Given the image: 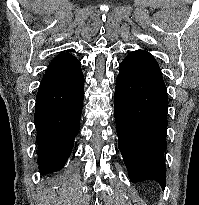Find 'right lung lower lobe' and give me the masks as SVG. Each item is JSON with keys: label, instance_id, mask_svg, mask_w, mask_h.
Masks as SVG:
<instances>
[{"label": "right lung lower lobe", "instance_id": "98d812e1", "mask_svg": "<svg viewBox=\"0 0 199 205\" xmlns=\"http://www.w3.org/2000/svg\"><path fill=\"white\" fill-rule=\"evenodd\" d=\"M84 97L82 70L68 77L43 76L35 104L38 164L42 173L60 170L79 131Z\"/></svg>", "mask_w": 199, "mask_h": 205}]
</instances>
